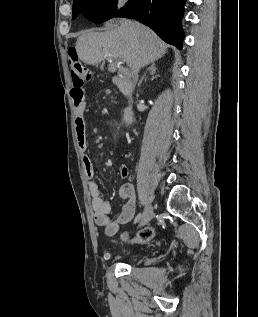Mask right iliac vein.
Listing matches in <instances>:
<instances>
[{
    "label": "right iliac vein",
    "mask_w": 258,
    "mask_h": 317,
    "mask_svg": "<svg viewBox=\"0 0 258 317\" xmlns=\"http://www.w3.org/2000/svg\"><path fill=\"white\" fill-rule=\"evenodd\" d=\"M153 216V207L151 205V202H148V204H146L144 207V213L141 218L140 225L138 227L145 226V224L152 220Z\"/></svg>",
    "instance_id": "1"
}]
</instances>
